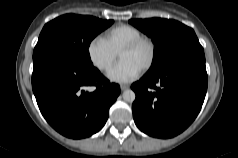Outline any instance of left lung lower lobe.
I'll list each match as a JSON object with an SVG mask.
<instances>
[{
  "instance_id": "obj_1",
  "label": "left lung lower lobe",
  "mask_w": 238,
  "mask_h": 158,
  "mask_svg": "<svg viewBox=\"0 0 238 158\" xmlns=\"http://www.w3.org/2000/svg\"><path fill=\"white\" fill-rule=\"evenodd\" d=\"M207 84L204 52L178 58L154 74L146 73L131 85L136 94L132 111L137 127L158 138L183 132L198 115Z\"/></svg>"
}]
</instances>
